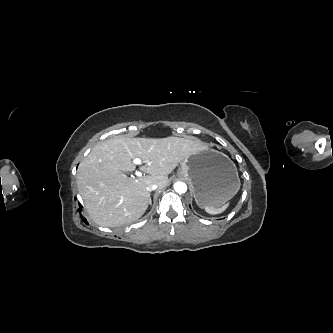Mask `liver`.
Wrapping results in <instances>:
<instances>
[{
    "label": "liver",
    "mask_w": 333,
    "mask_h": 333,
    "mask_svg": "<svg viewBox=\"0 0 333 333\" xmlns=\"http://www.w3.org/2000/svg\"><path fill=\"white\" fill-rule=\"evenodd\" d=\"M207 149L189 138H110L97 144L79 164L77 184L86 210L103 227H118L139 219L147 210L150 191L163 188L168 175L188 156ZM144 163L141 177H128L135 170L132 159Z\"/></svg>",
    "instance_id": "liver-1"
}]
</instances>
